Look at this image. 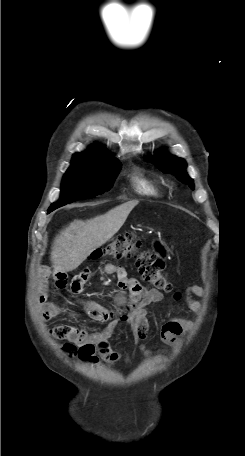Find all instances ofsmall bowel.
<instances>
[{"label": "small bowel", "mask_w": 245, "mask_h": 456, "mask_svg": "<svg viewBox=\"0 0 245 456\" xmlns=\"http://www.w3.org/2000/svg\"><path fill=\"white\" fill-rule=\"evenodd\" d=\"M102 271L107 275L117 276L118 286L123 292L128 291V298L119 294L116 298L117 307L115 309L106 308L94 301L84 302V310L92 319L106 323V326L99 330L60 325L52 329V335L57 339L68 340L78 346L79 357L87 362L96 363L98 361L96 354L98 353L103 359L114 363L120 358V354L111 349L109 339L118 325L124 324L131 329L139 350L145 355H150L152 352L143 345L149 330L146 307L150 303L160 302L163 299V294L156 289L144 288L136 278L129 276L122 266L115 263H106L102 267ZM92 274L93 271L87 268L74 276L70 283L72 291L80 292ZM52 277L56 289L67 286V275L64 272L54 271ZM49 295L48 280L44 278L37 294L40 315L44 321L65 312L61 306L48 300ZM204 295L205 291L199 285L187 287L185 301L192 312L198 314L202 309L201 303L194 300L193 297L203 298ZM189 327L190 323L187 320L173 317L161 326V339L171 346H176Z\"/></svg>", "instance_id": "c3829d8e"}]
</instances>
